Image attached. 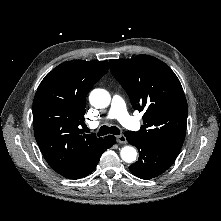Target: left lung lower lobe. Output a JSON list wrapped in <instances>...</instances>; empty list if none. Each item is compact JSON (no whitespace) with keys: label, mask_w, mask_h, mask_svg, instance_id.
Masks as SVG:
<instances>
[{"label":"left lung lower lobe","mask_w":221,"mask_h":221,"mask_svg":"<svg viewBox=\"0 0 221 221\" xmlns=\"http://www.w3.org/2000/svg\"><path fill=\"white\" fill-rule=\"evenodd\" d=\"M124 135L127 141L139 150V159L129 166V170L141 179H151L161 175L173 164L178 155L179 150L143 140L132 131H126Z\"/></svg>","instance_id":"obj_1"}]
</instances>
